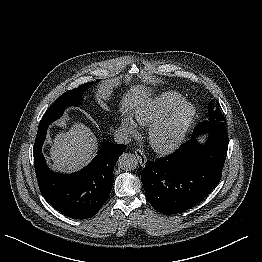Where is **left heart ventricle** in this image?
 <instances>
[{"instance_id":"1","label":"left heart ventricle","mask_w":262,"mask_h":262,"mask_svg":"<svg viewBox=\"0 0 262 262\" xmlns=\"http://www.w3.org/2000/svg\"><path fill=\"white\" fill-rule=\"evenodd\" d=\"M170 136H171V131L168 130V131L164 132V133L160 136V140H161L162 142H166V141H168V140L170 139Z\"/></svg>"}]
</instances>
